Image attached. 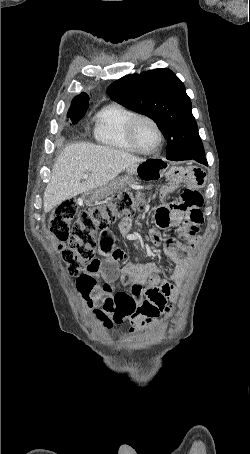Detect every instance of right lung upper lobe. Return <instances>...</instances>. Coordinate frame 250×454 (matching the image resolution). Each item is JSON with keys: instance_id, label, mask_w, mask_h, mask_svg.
<instances>
[{"instance_id": "1", "label": "right lung upper lobe", "mask_w": 250, "mask_h": 454, "mask_svg": "<svg viewBox=\"0 0 250 454\" xmlns=\"http://www.w3.org/2000/svg\"><path fill=\"white\" fill-rule=\"evenodd\" d=\"M89 102V96L87 93L82 92L80 95L76 96L73 101L72 105L80 104V103H86Z\"/></svg>"}]
</instances>
